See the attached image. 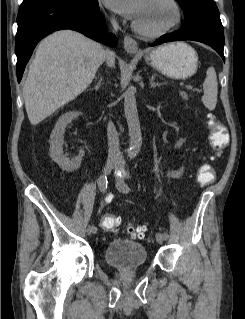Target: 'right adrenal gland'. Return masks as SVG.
Wrapping results in <instances>:
<instances>
[{
  "label": "right adrenal gland",
  "instance_id": "2a0ac1e0",
  "mask_svg": "<svg viewBox=\"0 0 245 319\" xmlns=\"http://www.w3.org/2000/svg\"><path fill=\"white\" fill-rule=\"evenodd\" d=\"M97 79V78H96ZM101 83H102V77H99L98 81L96 82V85L93 89L95 90H99L101 87Z\"/></svg>",
  "mask_w": 245,
  "mask_h": 319
}]
</instances>
